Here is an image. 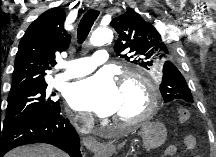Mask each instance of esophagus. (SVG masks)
Wrapping results in <instances>:
<instances>
[{
	"label": "esophagus",
	"mask_w": 216,
	"mask_h": 157,
	"mask_svg": "<svg viewBox=\"0 0 216 157\" xmlns=\"http://www.w3.org/2000/svg\"><path fill=\"white\" fill-rule=\"evenodd\" d=\"M105 6V3L101 0L94 2L91 7L93 9L101 10ZM84 144L87 146L92 151H103L106 149V147L98 142L94 137L89 136V137H84L83 138Z\"/></svg>",
	"instance_id": "1"
}]
</instances>
